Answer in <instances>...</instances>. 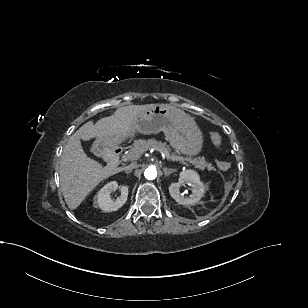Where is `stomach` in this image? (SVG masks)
Here are the masks:
<instances>
[{
    "label": "stomach",
    "instance_id": "1",
    "mask_svg": "<svg viewBox=\"0 0 308 308\" xmlns=\"http://www.w3.org/2000/svg\"><path fill=\"white\" fill-rule=\"evenodd\" d=\"M163 132L166 140L180 153L194 156L201 152L203 136L194 119L170 104H156L135 117L133 130L124 137H102L94 142L101 152L132 136L135 132L151 134Z\"/></svg>",
    "mask_w": 308,
    "mask_h": 308
}]
</instances>
